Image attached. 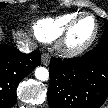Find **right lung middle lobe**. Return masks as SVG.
Here are the masks:
<instances>
[{
    "label": "right lung middle lobe",
    "instance_id": "obj_1",
    "mask_svg": "<svg viewBox=\"0 0 108 108\" xmlns=\"http://www.w3.org/2000/svg\"><path fill=\"white\" fill-rule=\"evenodd\" d=\"M5 5H6L5 3L1 2L0 3V8L3 7V6H5Z\"/></svg>",
    "mask_w": 108,
    "mask_h": 108
}]
</instances>
